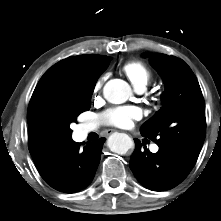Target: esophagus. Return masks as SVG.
I'll use <instances>...</instances> for the list:
<instances>
[{"mask_svg": "<svg viewBox=\"0 0 221 221\" xmlns=\"http://www.w3.org/2000/svg\"><path fill=\"white\" fill-rule=\"evenodd\" d=\"M112 133H113V130H110V129L105 131V134H106V135H110V134H112Z\"/></svg>", "mask_w": 221, "mask_h": 221, "instance_id": "1", "label": "esophagus"}]
</instances>
